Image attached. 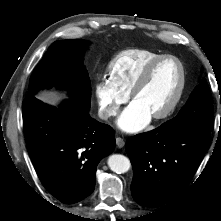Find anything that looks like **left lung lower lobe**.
<instances>
[{"label": "left lung lower lobe", "instance_id": "0a47b994", "mask_svg": "<svg viewBox=\"0 0 221 221\" xmlns=\"http://www.w3.org/2000/svg\"><path fill=\"white\" fill-rule=\"evenodd\" d=\"M211 131L160 127L131 137L126 152L133 166L131 193L141 206L166 205L180 196L204 153Z\"/></svg>", "mask_w": 221, "mask_h": 221}]
</instances>
